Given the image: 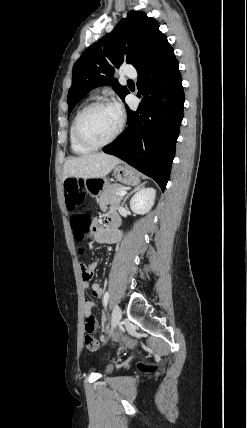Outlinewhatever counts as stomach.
<instances>
[{
  "mask_svg": "<svg viewBox=\"0 0 247 428\" xmlns=\"http://www.w3.org/2000/svg\"><path fill=\"white\" fill-rule=\"evenodd\" d=\"M113 175L117 181L123 184L134 185L139 183L137 173L127 165H116L113 169ZM108 185L106 178L84 179V186L92 197H98Z\"/></svg>",
  "mask_w": 247,
  "mask_h": 428,
  "instance_id": "stomach-1",
  "label": "stomach"
}]
</instances>
